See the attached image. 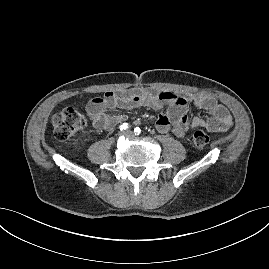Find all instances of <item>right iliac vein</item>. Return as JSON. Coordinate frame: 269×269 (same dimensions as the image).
<instances>
[{"label": "right iliac vein", "mask_w": 269, "mask_h": 269, "mask_svg": "<svg viewBox=\"0 0 269 269\" xmlns=\"http://www.w3.org/2000/svg\"><path fill=\"white\" fill-rule=\"evenodd\" d=\"M119 135L120 136L125 135V132L124 131H121V132H119Z\"/></svg>", "instance_id": "right-iliac-vein-1"}]
</instances>
